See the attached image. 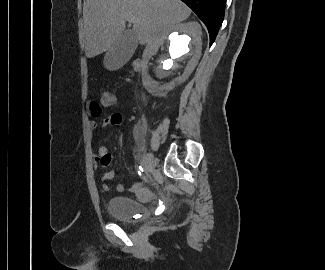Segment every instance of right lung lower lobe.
I'll list each match as a JSON object with an SVG mask.
<instances>
[{
    "mask_svg": "<svg viewBox=\"0 0 325 270\" xmlns=\"http://www.w3.org/2000/svg\"><path fill=\"white\" fill-rule=\"evenodd\" d=\"M206 25L210 35V45L215 41L224 19L226 0H182Z\"/></svg>",
    "mask_w": 325,
    "mask_h": 270,
    "instance_id": "right-lung-lower-lobe-1",
    "label": "right lung lower lobe"
}]
</instances>
